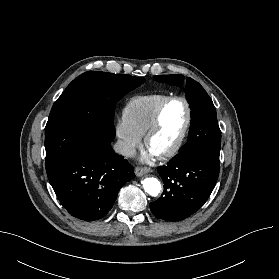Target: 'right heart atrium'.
Wrapping results in <instances>:
<instances>
[{
  "instance_id": "1",
  "label": "right heart atrium",
  "mask_w": 279,
  "mask_h": 279,
  "mask_svg": "<svg viewBox=\"0 0 279 279\" xmlns=\"http://www.w3.org/2000/svg\"><path fill=\"white\" fill-rule=\"evenodd\" d=\"M116 135L123 156H130L141 142V135L132 128L124 115L116 122Z\"/></svg>"
}]
</instances>
